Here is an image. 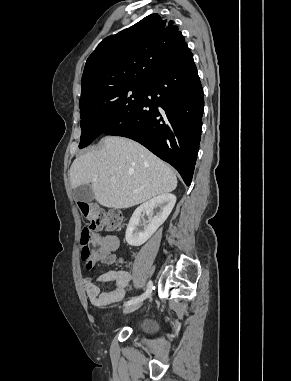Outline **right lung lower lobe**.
Returning a JSON list of instances; mask_svg holds the SVG:
<instances>
[{
	"label": "right lung lower lobe",
	"instance_id": "obj_1",
	"mask_svg": "<svg viewBox=\"0 0 291 381\" xmlns=\"http://www.w3.org/2000/svg\"><path fill=\"white\" fill-rule=\"evenodd\" d=\"M204 97L187 47L146 83L137 110L104 134L133 139L171 164L190 185L199 149Z\"/></svg>",
	"mask_w": 291,
	"mask_h": 381
}]
</instances>
